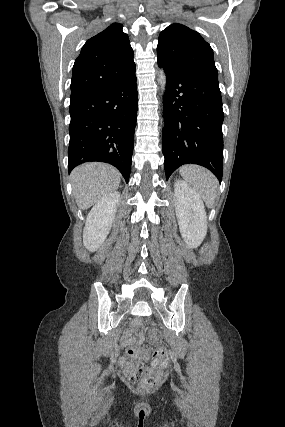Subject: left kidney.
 Listing matches in <instances>:
<instances>
[{"instance_id": "5707ae66", "label": "left kidney", "mask_w": 285, "mask_h": 427, "mask_svg": "<svg viewBox=\"0 0 285 427\" xmlns=\"http://www.w3.org/2000/svg\"><path fill=\"white\" fill-rule=\"evenodd\" d=\"M176 217L180 233L191 248H197L207 233V216L199 194L186 182L174 184Z\"/></svg>"}]
</instances>
